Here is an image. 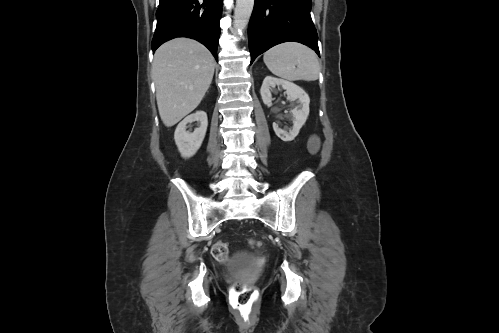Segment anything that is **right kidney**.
<instances>
[{"mask_svg":"<svg viewBox=\"0 0 499 333\" xmlns=\"http://www.w3.org/2000/svg\"><path fill=\"white\" fill-rule=\"evenodd\" d=\"M194 121L200 122V126L193 133L187 132V124ZM207 125V114L204 111H197L187 116L178 124L174 133V139L182 157L190 158L195 155L204 140Z\"/></svg>","mask_w":499,"mask_h":333,"instance_id":"ca27d5eb","label":"right kidney"}]
</instances>
